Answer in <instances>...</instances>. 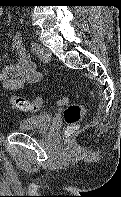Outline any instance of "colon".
<instances>
[{
  "mask_svg": "<svg viewBox=\"0 0 121 197\" xmlns=\"http://www.w3.org/2000/svg\"><path fill=\"white\" fill-rule=\"evenodd\" d=\"M11 103L15 109L23 112H36L42 106V99L35 98L34 100H27L21 97L13 96L11 98ZM57 105L62 106L66 105V108L63 112L64 121L67 124L66 137H73L82 121L84 108L79 104H68L67 98H62L57 101Z\"/></svg>",
  "mask_w": 121,
  "mask_h": 197,
  "instance_id": "1",
  "label": "colon"
}]
</instances>
